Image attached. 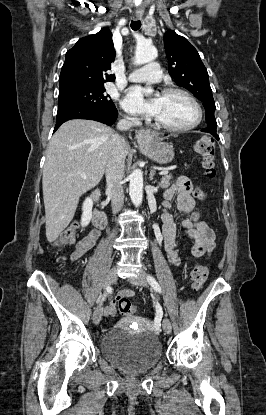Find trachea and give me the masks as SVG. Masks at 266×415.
I'll use <instances>...</instances> for the list:
<instances>
[{"instance_id":"1","label":"trachea","mask_w":266,"mask_h":415,"mask_svg":"<svg viewBox=\"0 0 266 415\" xmlns=\"http://www.w3.org/2000/svg\"><path fill=\"white\" fill-rule=\"evenodd\" d=\"M140 27H141V22L139 20L138 21H132L131 22V28L134 31L138 30Z\"/></svg>"}]
</instances>
